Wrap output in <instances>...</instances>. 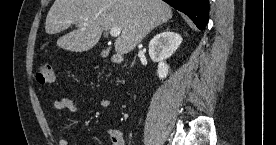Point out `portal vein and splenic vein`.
Wrapping results in <instances>:
<instances>
[{"mask_svg": "<svg viewBox=\"0 0 276 145\" xmlns=\"http://www.w3.org/2000/svg\"><path fill=\"white\" fill-rule=\"evenodd\" d=\"M120 33H121V30L117 27H114V28L110 29V35L112 37H118L120 35Z\"/></svg>", "mask_w": 276, "mask_h": 145, "instance_id": "18ae733b", "label": "portal vein and splenic vein"}]
</instances>
